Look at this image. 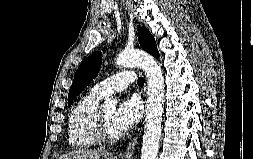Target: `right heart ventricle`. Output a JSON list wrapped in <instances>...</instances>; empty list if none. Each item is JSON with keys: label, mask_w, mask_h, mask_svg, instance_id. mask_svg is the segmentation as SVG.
Here are the masks:
<instances>
[{"label": "right heart ventricle", "mask_w": 253, "mask_h": 159, "mask_svg": "<svg viewBox=\"0 0 253 159\" xmlns=\"http://www.w3.org/2000/svg\"><path fill=\"white\" fill-rule=\"evenodd\" d=\"M103 97L90 91L71 109L68 118V142L81 150L93 148L97 141L93 134V124L98 103Z\"/></svg>", "instance_id": "1"}]
</instances>
